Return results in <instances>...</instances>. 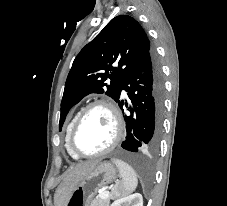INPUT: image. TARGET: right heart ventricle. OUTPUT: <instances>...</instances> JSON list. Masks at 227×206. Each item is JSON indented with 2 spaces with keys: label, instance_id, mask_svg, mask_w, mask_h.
Segmentation results:
<instances>
[{
  "label": "right heart ventricle",
  "instance_id": "1",
  "mask_svg": "<svg viewBox=\"0 0 227 206\" xmlns=\"http://www.w3.org/2000/svg\"><path fill=\"white\" fill-rule=\"evenodd\" d=\"M81 110H82V109H79V110H77V111L75 112V114L73 115V117H72L71 120L69 121V123H68V125H67V128H66V139H65V141H66V149H67L68 153L71 155V157H73L74 159H78V157H77L75 154H73V153L71 152V150L69 149L68 141H69L70 131H71V129H72V127H73V124H74V122H75V120H76V118H77V116L79 115V113H80Z\"/></svg>",
  "mask_w": 227,
  "mask_h": 206
}]
</instances>
